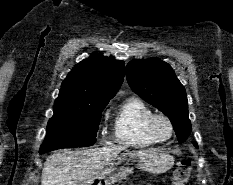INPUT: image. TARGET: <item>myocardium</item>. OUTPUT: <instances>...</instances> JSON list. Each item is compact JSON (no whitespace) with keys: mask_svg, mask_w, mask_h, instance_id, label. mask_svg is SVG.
Returning <instances> with one entry per match:
<instances>
[{"mask_svg":"<svg viewBox=\"0 0 233 185\" xmlns=\"http://www.w3.org/2000/svg\"><path fill=\"white\" fill-rule=\"evenodd\" d=\"M158 120H164L168 124L169 129H170V134L168 137L163 138L158 134L157 129H156V124H157ZM148 131H149L150 135L157 142H166V141L170 140L174 135V125H173L172 120L166 114L154 113L148 121Z\"/></svg>","mask_w":233,"mask_h":185,"instance_id":"myocardium-1","label":"myocardium"}]
</instances>
